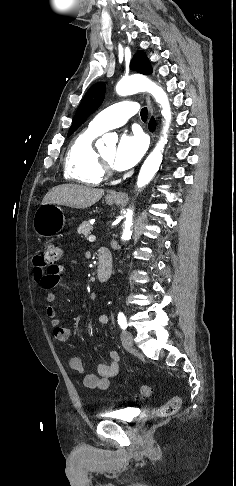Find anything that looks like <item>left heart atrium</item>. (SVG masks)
<instances>
[{
    "mask_svg": "<svg viewBox=\"0 0 236 486\" xmlns=\"http://www.w3.org/2000/svg\"><path fill=\"white\" fill-rule=\"evenodd\" d=\"M146 150V142L142 135L123 134L117 145L113 165L117 170H127L141 159Z\"/></svg>",
    "mask_w": 236,
    "mask_h": 486,
    "instance_id": "39dd6f15",
    "label": "left heart atrium"
}]
</instances>
